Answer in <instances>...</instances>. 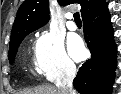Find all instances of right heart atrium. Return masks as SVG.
Segmentation results:
<instances>
[{
	"instance_id": "d8ad5b80",
	"label": "right heart atrium",
	"mask_w": 121,
	"mask_h": 94,
	"mask_svg": "<svg viewBox=\"0 0 121 94\" xmlns=\"http://www.w3.org/2000/svg\"><path fill=\"white\" fill-rule=\"evenodd\" d=\"M33 54L36 70L47 79L70 78L76 72L62 37L53 31H43L37 37Z\"/></svg>"
}]
</instances>
